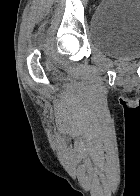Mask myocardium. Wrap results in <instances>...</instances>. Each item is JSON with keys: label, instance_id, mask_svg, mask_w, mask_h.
<instances>
[{"label": "myocardium", "instance_id": "1", "mask_svg": "<svg viewBox=\"0 0 140 196\" xmlns=\"http://www.w3.org/2000/svg\"><path fill=\"white\" fill-rule=\"evenodd\" d=\"M87 192H119V191H87Z\"/></svg>", "mask_w": 140, "mask_h": 196}]
</instances>
